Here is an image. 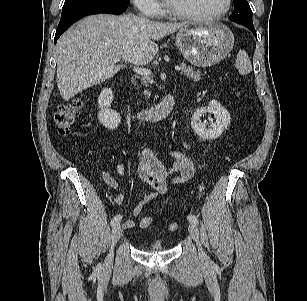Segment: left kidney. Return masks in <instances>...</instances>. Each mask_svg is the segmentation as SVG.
<instances>
[{"mask_svg": "<svg viewBox=\"0 0 307 301\" xmlns=\"http://www.w3.org/2000/svg\"><path fill=\"white\" fill-rule=\"evenodd\" d=\"M212 113L215 122L209 127L202 123L201 118L204 114ZM230 124L229 112L216 100H211L207 107H203L194 112L191 118L192 129L204 140L218 138Z\"/></svg>", "mask_w": 307, "mask_h": 301, "instance_id": "left-kidney-1", "label": "left kidney"}]
</instances>
